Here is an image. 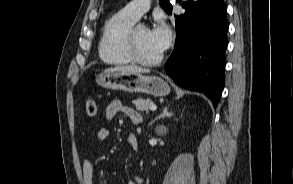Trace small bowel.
<instances>
[{"instance_id":"1","label":"small bowel","mask_w":293,"mask_h":184,"mask_svg":"<svg viewBox=\"0 0 293 184\" xmlns=\"http://www.w3.org/2000/svg\"><path fill=\"white\" fill-rule=\"evenodd\" d=\"M118 113L124 114L134 124H139L142 121V117L135 109L124 105L120 100H113L108 104L105 110V116L108 120H112ZM108 136V130L104 127L97 131V138L99 141H103ZM128 143L136 149L138 146L137 138L134 134L128 136ZM82 175L84 184H93L94 166L89 159H84L82 164ZM142 178L136 176L133 180H129L126 184H141Z\"/></svg>"}]
</instances>
